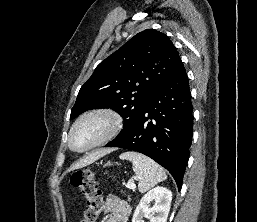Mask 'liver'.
Returning <instances> with one entry per match:
<instances>
[{
  "label": "liver",
  "mask_w": 257,
  "mask_h": 222,
  "mask_svg": "<svg viewBox=\"0 0 257 222\" xmlns=\"http://www.w3.org/2000/svg\"><path fill=\"white\" fill-rule=\"evenodd\" d=\"M111 152V149H104L101 151H97L91 155L86 156L85 158L81 159L80 161H78L77 163H75L74 165H72L69 169V171L78 169V168H82L86 165L91 164L92 162L98 160L99 158L103 157L104 155L108 154Z\"/></svg>",
  "instance_id": "6515ba94"
}]
</instances>
